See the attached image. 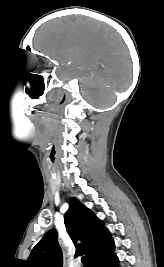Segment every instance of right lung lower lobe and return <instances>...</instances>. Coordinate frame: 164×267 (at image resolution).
Listing matches in <instances>:
<instances>
[{
	"instance_id": "obj_1",
	"label": "right lung lower lobe",
	"mask_w": 164,
	"mask_h": 267,
	"mask_svg": "<svg viewBox=\"0 0 164 267\" xmlns=\"http://www.w3.org/2000/svg\"><path fill=\"white\" fill-rule=\"evenodd\" d=\"M114 248L90 261L88 267H118V258L113 253Z\"/></svg>"
}]
</instances>
